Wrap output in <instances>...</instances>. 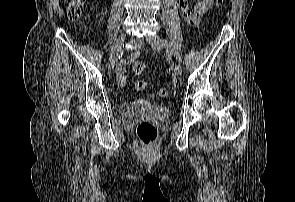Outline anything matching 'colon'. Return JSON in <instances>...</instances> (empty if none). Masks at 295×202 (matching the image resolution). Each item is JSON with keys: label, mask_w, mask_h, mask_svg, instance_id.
<instances>
[{"label": "colon", "mask_w": 295, "mask_h": 202, "mask_svg": "<svg viewBox=\"0 0 295 202\" xmlns=\"http://www.w3.org/2000/svg\"><path fill=\"white\" fill-rule=\"evenodd\" d=\"M67 1V14L72 20H77L81 16L82 8L85 5L86 0H66ZM216 5L221 6L225 0H216ZM132 69L135 74H142L146 70V64L142 61H137L132 65ZM136 90L139 92L145 91L147 89V82L138 81L135 86ZM158 95L165 98L169 95V91L166 88H160ZM136 134L139 140L146 145L155 142L158 136L156 126L149 121H142L138 124L136 128Z\"/></svg>", "instance_id": "obj_1"}]
</instances>
